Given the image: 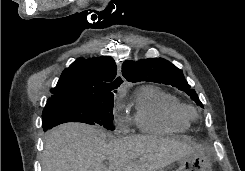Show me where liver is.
Segmentation results:
<instances>
[{
	"label": "liver",
	"mask_w": 245,
	"mask_h": 171,
	"mask_svg": "<svg viewBox=\"0 0 245 171\" xmlns=\"http://www.w3.org/2000/svg\"><path fill=\"white\" fill-rule=\"evenodd\" d=\"M106 138L104 131L82 123H66L48 131L42 171H158L199 149L187 142L148 135L109 142Z\"/></svg>",
	"instance_id": "1"
}]
</instances>
